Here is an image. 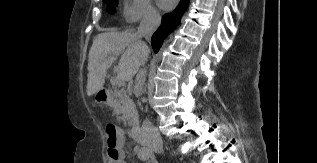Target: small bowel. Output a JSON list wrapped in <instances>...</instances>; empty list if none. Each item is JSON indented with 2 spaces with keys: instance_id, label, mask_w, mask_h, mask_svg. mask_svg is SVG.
I'll return each mask as SVG.
<instances>
[{
  "instance_id": "small-bowel-1",
  "label": "small bowel",
  "mask_w": 317,
  "mask_h": 163,
  "mask_svg": "<svg viewBox=\"0 0 317 163\" xmlns=\"http://www.w3.org/2000/svg\"><path fill=\"white\" fill-rule=\"evenodd\" d=\"M134 152L138 159L143 163H156L154 160L151 159V153L148 148H144L141 146H135ZM121 163H126L124 160H121Z\"/></svg>"
}]
</instances>
